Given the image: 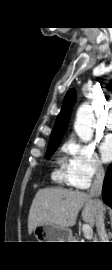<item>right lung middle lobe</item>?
Returning a JSON list of instances; mask_svg holds the SVG:
<instances>
[{"instance_id": "obj_1", "label": "right lung middle lobe", "mask_w": 112, "mask_h": 270, "mask_svg": "<svg viewBox=\"0 0 112 270\" xmlns=\"http://www.w3.org/2000/svg\"><path fill=\"white\" fill-rule=\"evenodd\" d=\"M60 142H55V143H50L48 145V149H47V153H46V156L45 158H48L58 147Z\"/></svg>"}]
</instances>
